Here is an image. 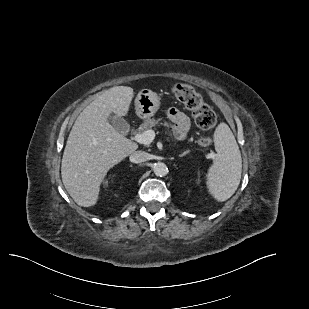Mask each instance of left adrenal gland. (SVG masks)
Instances as JSON below:
<instances>
[{"label":"left adrenal gland","instance_id":"obj_1","mask_svg":"<svg viewBox=\"0 0 309 309\" xmlns=\"http://www.w3.org/2000/svg\"><path fill=\"white\" fill-rule=\"evenodd\" d=\"M188 153H189V151H185L184 153L180 154L179 157H183V156H185Z\"/></svg>","mask_w":309,"mask_h":309}]
</instances>
